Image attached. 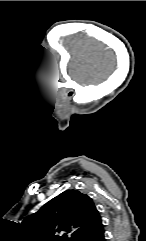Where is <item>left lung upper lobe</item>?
Wrapping results in <instances>:
<instances>
[{
	"label": "left lung upper lobe",
	"mask_w": 146,
	"mask_h": 241,
	"mask_svg": "<svg viewBox=\"0 0 146 241\" xmlns=\"http://www.w3.org/2000/svg\"><path fill=\"white\" fill-rule=\"evenodd\" d=\"M101 221L92 199L66 190L26 217L22 224L36 241H78Z\"/></svg>",
	"instance_id": "obj_1"
}]
</instances>
